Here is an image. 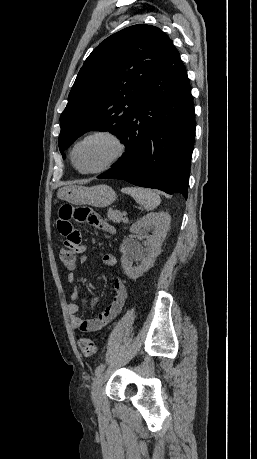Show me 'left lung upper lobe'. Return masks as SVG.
<instances>
[{
    "instance_id": "1",
    "label": "left lung upper lobe",
    "mask_w": 257,
    "mask_h": 459,
    "mask_svg": "<svg viewBox=\"0 0 257 459\" xmlns=\"http://www.w3.org/2000/svg\"><path fill=\"white\" fill-rule=\"evenodd\" d=\"M174 46L159 28L137 24L99 44L85 60L60 116L64 151L94 128L120 139L139 105V95L168 60Z\"/></svg>"
}]
</instances>
